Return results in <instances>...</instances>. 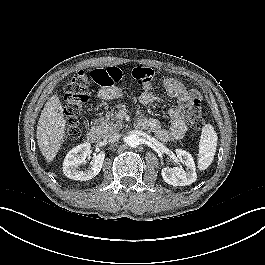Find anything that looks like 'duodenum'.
<instances>
[{"label": "duodenum", "mask_w": 265, "mask_h": 265, "mask_svg": "<svg viewBox=\"0 0 265 265\" xmlns=\"http://www.w3.org/2000/svg\"><path fill=\"white\" fill-rule=\"evenodd\" d=\"M87 139L88 141H90L91 143H96L99 141L100 139V132L99 129L97 128H92L88 131L87 133Z\"/></svg>", "instance_id": "duodenum-1"}]
</instances>
